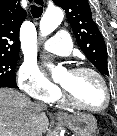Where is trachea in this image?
<instances>
[{
    "label": "trachea",
    "instance_id": "obj_1",
    "mask_svg": "<svg viewBox=\"0 0 117 136\" xmlns=\"http://www.w3.org/2000/svg\"><path fill=\"white\" fill-rule=\"evenodd\" d=\"M42 13H43V7L36 5L31 6V14L34 18H39L42 15Z\"/></svg>",
    "mask_w": 117,
    "mask_h": 136
}]
</instances>
